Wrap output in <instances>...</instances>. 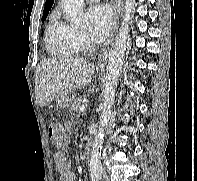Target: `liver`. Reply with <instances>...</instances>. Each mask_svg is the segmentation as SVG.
Listing matches in <instances>:
<instances>
[{"label":"liver","instance_id":"1","mask_svg":"<svg viewBox=\"0 0 197 181\" xmlns=\"http://www.w3.org/2000/svg\"><path fill=\"white\" fill-rule=\"evenodd\" d=\"M92 63L79 57L42 60L35 70V95L40 106L49 105L64 90L86 87L94 74Z\"/></svg>","mask_w":197,"mask_h":181}]
</instances>
